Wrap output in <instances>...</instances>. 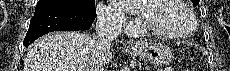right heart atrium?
Here are the masks:
<instances>
[{
	"label": "right heart atrium",
	"mask_w": 230,
	"mask_h": 71,
	"mask_svg": "<svg viewBox=\"0 0 230 71\" xmlns=\"http://www.w3.org/2000/svg\"><path fill=\"white\" fill-rule=\"evenodd\" d=\"M99 20L117 31L127 29L131 22L117 5L100 4L97 8Z\"/></svg>",
	"instance_id": "1"
}]
</instances>
